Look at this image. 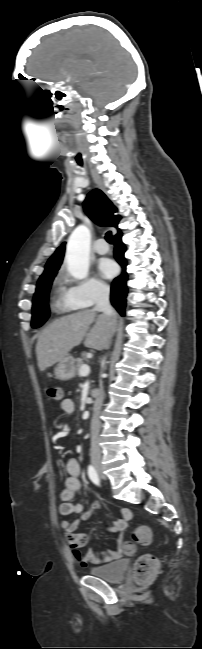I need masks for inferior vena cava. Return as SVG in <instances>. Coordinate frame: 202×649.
I'll use <instances>...</instances> for the list:
<instances>
[{"label":"inferior vena cava","mask_w":202,"mask_h":649,"mask_svg":"<svg viewBox=\"0 0 202 649\" xmlns=\"http://www.w3.org/2000/svg\"><path fill=\"white\" fill-rule=\"evenodd\" d=\"M109 295H110V288L107 285H101L97 287V293H96V306L95 310L103 312L107 316H115V311L110 305L109 302ZM103 401V392L100 391L96 395V401L94 405V409L96 412L100 409V406ZM99 421L97 415L94 416V420L92 423V439H91V448H90V454L91 455H100V446H99Z\"/></svg>","instance_id":"1"}]
</instances>
